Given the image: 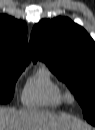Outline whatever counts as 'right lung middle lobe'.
Segmentation results:
<instances>
[{
    "mask_svg": "<svg viewBox=\"0 0 95 130\" xmlns=\"http://www.w3.org/2000/svg\"><path fill=\"white\" fill-rule=\"evenodd\" d=\"M24 68H0V103L11 101L15 82Z\"/></svg>",
    "mask_w": 95,
    "mask_h": 130,
    "instance_id": "dd1d6c3e",
    "label": "right lung middle lobe"
}]
</instances>
